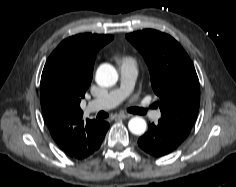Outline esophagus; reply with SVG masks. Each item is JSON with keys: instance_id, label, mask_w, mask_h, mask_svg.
<instances>
[{"instance_id": "obj_1", "label": "esophagus", "mask_w": 236, "mask_h": 187, "mask_svg": "<svg viewBox=\"0 0 236 187\" xmlns=\"http://www.w3.org/2000/svg\"><path fill=\"white\" fill-rule=\"evenodd\" d=\"M130 116H131V115H129V114L121 113V114L116 115V119H127V118H129Z\"/></svg>"}]
</instances>
